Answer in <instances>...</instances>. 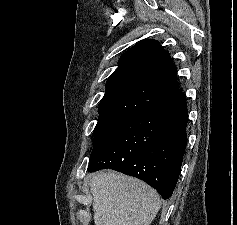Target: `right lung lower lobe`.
<instances>
[{"mask_svg": "<svg viewBox=\"0 0 237 225\" xmlns=\"http://www.w3.org/2000/svg\"><path fill=\"white\" fill-rule=\"evenodd\" d=\"M186 96L152 106L110 133L90 156L88 171L113 169L137 177L168 199L187 144Z\"/></svg>", "mask_w": 237, "mask_h": 225, "instance_id": "right-lung-lower-lobe-1", "label": "right lung lower lobe"}]
</instances>
